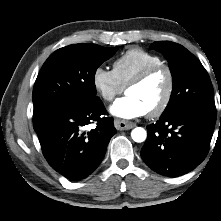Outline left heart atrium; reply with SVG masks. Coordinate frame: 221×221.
<instances>
[{
    "label": "left heart atrium",
    "mask_w": 221,
    "mask_h": 221,
    "mask_svg": "<svg viewBox=\"0 0 221 221\" xmlns=\"http://www.w3.org/2000/svg\"><path fill=\"white\" fill-rule=\"evenodd\" d=\"M110 112L122 119H133L146 115L148 110L138 98L126 95L111 105Z\"/></svg>",
    "instance_id": "39dd6f15"
}]
</instances>
